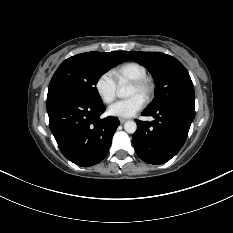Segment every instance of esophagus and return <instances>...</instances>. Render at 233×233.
Returning a JSON list of instances; mask_svg holds the SVG:
<instances>
[{
	"mask_svg": "<svg viewBox=\"0 0 233 233\" xmlns=\"http://www.w3.org/2000/svg\"><path fill=\"white\" fill-rule=\"evenodd\" d=\"M126 121H127V119H125V118H119V122H120L121 124L125 123Z\"/></svg>",
	"mask_w": 233,
	"mask_h": 233,
	"instance_id": "esophagus-1",
	"label": "esophagus"
}]
</instances>
